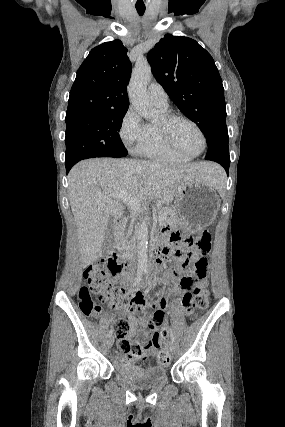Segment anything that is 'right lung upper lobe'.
Instances as JSON below:
<instances>
[{"label": "right lung upper lobe", "instance_id": "1", "mask_svg": "<svg viewBox=\"0 0 285 427\" xmlns=\"http://www.w3.org/2000/svg\"><path fill=\"white\" fill-rule=\"evenodd\" d=\"M120 40L93 48L77 71L65 120L112 110H128L131 62Z\"/></svg>", "mask_w": 285, "mask_h": 427}]
</instances>
